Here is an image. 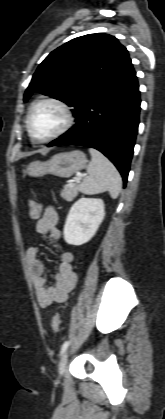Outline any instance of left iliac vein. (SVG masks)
I'll use <instances>...</instances> for the list:
<instances>
[{"label":"left iliac vein","mask_w":165,"mask_h":419,"mask_svg":"<svg viewBox=\"0 0 165 419\" xmlns=\"http://www.w3.org/2000/svg\"><path fill=\"white\" fill-rule=\"evenodd\" d=\"M68 360V352H65L59 362V374L63 375L65 372L66 364Z\"/></svg>","instance_id":"left-iliac-vein-1"}]
</instances>
